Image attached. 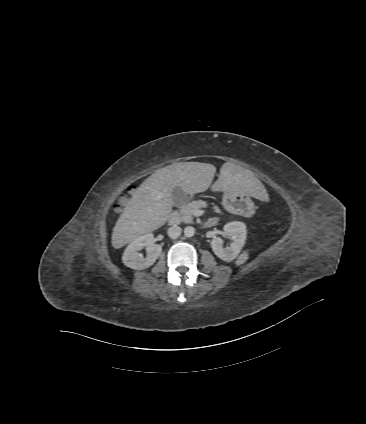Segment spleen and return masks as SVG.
I'll return each mask as SVG.
<instances>
[{
  "label": "spleen",
  "mask_w": 366,
  "mask_h": 424,
  "mask_svg": "<svg viewBox=\"0 0 366 424\" xmlns=\"http://www.w3.org/2000/svg\"><path fill=\"white\" fill-rule=\"evenodd\" d=\"M247 259H248V252H244L238 258L237 265H241V264L245 263L247 261Z\"/></svg>",
  "instance_id": "3e777b00"
}]
</instances>
